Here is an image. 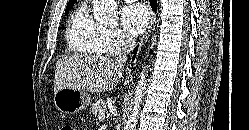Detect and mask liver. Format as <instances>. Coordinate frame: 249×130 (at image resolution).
Here are the masks:
<instances>
[{
  "mask_svg": "<svg viewBox=\"0 0 249 130\" xmlns=\"http://www.w3.org/2000/svg\"><path fill=\"white\" fill-rule=\"evenodd\" d=\"M123 72V64L109 57H64L56 63L54 93L64 88L99 93L111 91L121 79Z\"/></svg>",
  "mask_w": 249,
  "mask_h": 130,
  "instance_id": "obj_1",
  "label": "liver"
}]
</instances>
